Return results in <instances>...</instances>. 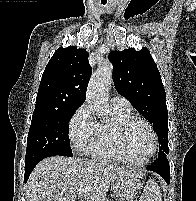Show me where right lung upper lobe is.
I'll return each instance as SVG.
<instances>
[{
  "instance_id": "obj_1",
  "label": "right lung upper lobe",
  "mask_w": 196,
  "mask_h": 201,
  "mask_svg": "<svg viewBox=\"0 0 196 201\" xmlns=\"http://www.w3.org/2000/svg\"><path fill=\"white\" fill-rule=\"evenodd\" d=\"M91 73L85 49H77L75 46L58 48L42 75L35 107H80L86 98Z\"/></svg>"
}]
</instances>
